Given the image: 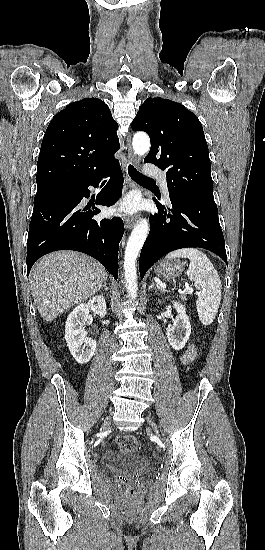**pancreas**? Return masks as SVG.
Wrapping results in <instances>:
<instances>
[{"label":"pancreas","instance_id":"1","mask_svg":"<svg viewBox=\"0 0 265 550\" xmlns=\"http://www.w3.org/2000/svg\"><path fill=\"white\" fill-rule=\"evenodd\" d=\"M180 298H181L183 301H186V300H187L186 296H183V295H181Z\"/></svg>","mask_w":265,"mask_h":550}]
</instances>
